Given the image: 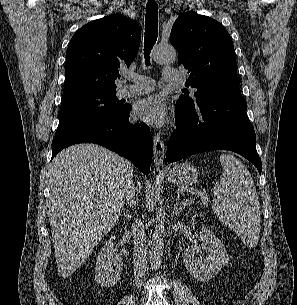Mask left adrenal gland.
Wrapping results in <instances>:
<instances>
[{
	"label": "left adrenal gland",
	"mask_w": 297,
	"mask_h": 305,
	"mask_svg": "<svg viewBox=\"0 0 297 305\" xmlns=\"http://www.w3.org/2000/svg\"><path fill=\"white\" fill-rule=\"evenodd\" d=\"M179 197L180 196L178 195L173 208V214L176 216H179L183 208H185L188 205V200H184L179 204Z\"/></svg>",
	"instance_id": "1"
}]
</instances>
